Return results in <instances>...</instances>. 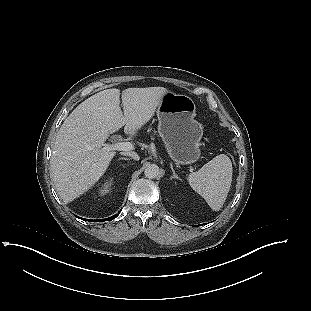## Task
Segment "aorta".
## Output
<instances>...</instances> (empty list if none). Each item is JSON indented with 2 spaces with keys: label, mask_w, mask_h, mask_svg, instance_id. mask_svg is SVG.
I'll return each instance as SVG.
<instances>
[{
  "label": "aorta",
  "mask_w": 311,
  "mask_h": 311,
  "mask_svg": "<svg viewBox=\"0 0 311 311\" xmlns=\"http://www.w3.org/2000/svg\"><path fill=\"white\" fill-rule=\"evenodd\" d=\"M144 174L149 179L157 178L160 174V169L156 164H149L145 168Z\"/></svg>",
  "instance_id": "762f6f07"
}]
</instances>
